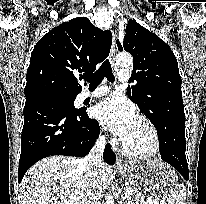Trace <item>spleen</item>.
I'll return each instance as SVG.
<instances>
[{"mask_svg": "<svg viewBox=\"0 0 206 204\" xmlns=\"http://www.w3.org/2000/svg\"><path fill=\"white\" fill-rule=\"evenodd\" d=\"M186 197V191L184 186L180 185L175 190H171L168 195V204H184L183 201Z\"/></svg>", "mask_w": 206, "mask_h": 204, "instance_id": "1", "label": "spleen"}]
</instances>
